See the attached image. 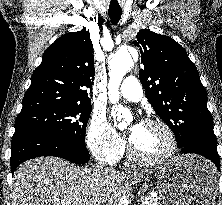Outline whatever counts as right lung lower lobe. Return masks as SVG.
Instances as JSON below:
<instances>
[{
    "instance_id": "1",
    "label": "right lung lower lobe",
    "mask_w": 222,
    "mask_h": 205,
    "mask_svg": "<svg viewBox=\"0 0 222 205\" xmlns=\"http://www.w3.org/2000/svg\"><path fill=\"white\" fill-rule=\"evenodd\" d=\"M85 145L38 129L15 130L11 143V172L24 161L39 156H56L75 164L89 161Z\"/></svg>"
}]
</instances>
